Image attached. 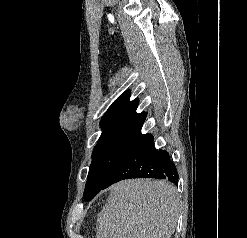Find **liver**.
<instances>
[{
	"mask_svg": "<svg viewBox=\"0 0 247 238\" xmlns=\"http://www.w3.org/2000/svg\"><path fill=\"white\" fill-rule=\"evenodd\" d=\"M178 217L179 200L171 183L124 180L110 187L97 216L96 238H170Z\"/></svg>",
	"mask_w": 247,
	"mask_h": 238,
	"instance_id": "liver-1",
	"label": "liver"
}]
</instances>
